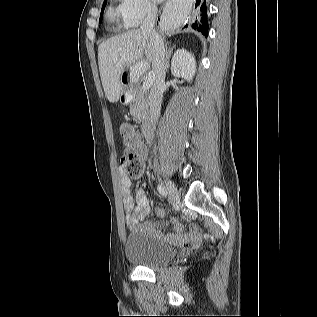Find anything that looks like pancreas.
I'll list each match as a JSON object with an SVG mask.
<instances>
[{
	"label": "pancreas",
	"mask_w": 317,
	"mask_h": 317,
	"mask_svg": "<svg viewBox=\"0 0 317 317\" xmlns=\"http://www.w3.org/2000/svg\"><path fill=\"white\" fill-rule=\"evenodd\" d=\"M133 99L130 106V113L139 121L145 118L147 103L145 98V90L143 88L132 86L129 92Z\"/></svg>",
	"instance_id": "1"
}]
</instances>
